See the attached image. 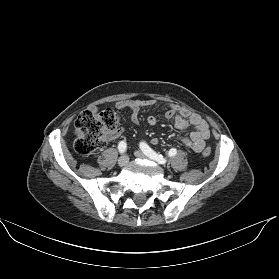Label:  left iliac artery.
Wrapping results in <instances>:
<instances>
[{
    "label": "left iliac artery",
    "instance_id": "1",
    "mask_svg": "<svg viewBox=\"0 0 279 279\" xmlns=\"http://www.w3.org/2000/svg\"><path fill=\"white\" fill-rule=\"evenodd\" d=\"M140 148L145 153V155H147L149 158L156 160L160 164L166 163V159L161 154H157L155 151H153L146 143L141 142ZM176 153L177 150L175 148H172L168 152V156L173 157L176 155Z\"/></svg>",
    "mask_w": 279,
    "mask_h": 279
}]
</instances>
